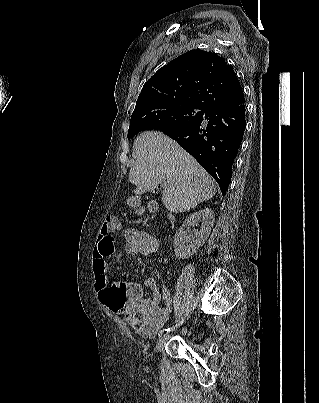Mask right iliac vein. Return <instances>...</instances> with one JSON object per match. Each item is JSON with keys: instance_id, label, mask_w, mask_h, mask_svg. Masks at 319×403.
<instances>
[{"instance_id": "obj_1", "label": "right iliac vein", "mask_w": 319, "mask_h": 403, "mask_svg": "<svg viewBox=\"0 0 319 403\" xmlns=\"http://www.w3.org/2000/svg\"><path fill=\"white\" fill-rule=\"evenodd\" d=\"M168 338H169L168 334H164V335L159 337V339H158V341L156 343V346H155V351L157 353H159V352H161L163 350L164 345L167 342Z\"/></svg>"}]
</instances>
